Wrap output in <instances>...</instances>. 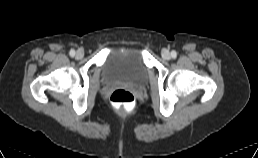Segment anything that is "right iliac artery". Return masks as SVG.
Masks as SVG:
<instances>
[{"instance_id": "82829eb1", "label": "right iliac artery", "mask_w": 258, "mask_h": 158, "mask_svg": "<svg viewBox=\"0 0 258 158\" xmlns=\"http://www.w3.org/2000/svg\"><path fill=\"white\" fill-rule=\"evenodd\" d=\"M70 56H74L75 55V50L71 49L70 52H69Z\"/></svg>"}]
</instances>
